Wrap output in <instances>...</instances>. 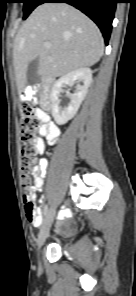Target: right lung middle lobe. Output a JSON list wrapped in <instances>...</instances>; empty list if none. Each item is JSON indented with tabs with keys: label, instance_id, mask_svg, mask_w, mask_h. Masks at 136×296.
I'll return each mask as SVG.
<instances>
[{
	"label": "right lung middle lobe",
	"instance_id": "1",
	"mask_svg": "<svg viewBox=\"0 0 136 296\" xmlns=\"http://www.w3.org/2000/svg\"><path fill=\"white\" fill-rule=\"evenodd\" d=\"M43 0H20L23 3V19H26L28 15L42 3Z\"/></svg>",
	"mask_w": 136,
	"mask_h": 296
}]
</instances>
